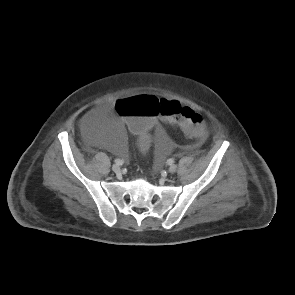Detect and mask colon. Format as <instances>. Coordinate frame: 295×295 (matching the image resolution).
<instances>
[{"instance_id":"5ec220e1","label":"colon","mask_w":295,"mask_h":295,"mask_svg":"<svg viewBox=\"0 0 295 295\" xmlns=\"http://www.w3.org/2000/svg\"><path fill=\"white\" fill-rule=\"evenodd\" d=\"M117 121L122 122L133 137V159L138 164H147L152 159L153 141L148 134L158 121H172L178 124L190 138L202 140L206 136V126L202 117L194 109L175 98L158 99L146 93L119 100L115 107Z\"/></svg>"}]
</instances>
